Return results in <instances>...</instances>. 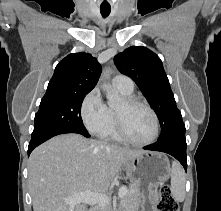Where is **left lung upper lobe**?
Masks as SVG:
<instances>
[{
  "label": "left lung upper lobe",
  "instance_id": "1",
  "mask_svg": "<svg viewBox=\"0 0 221 211\" xmlns=\"http://www.w3.org/2000/svg\"><path fill=\"white\" fill-rule=\"evenodd\" d=\"M118 70L134 80L156 112L161 125L158 141L185 135L181 112L176 106L162 61L143 46H132L114 57Z\"/></svg>",
  "mask_w": 221,
  "mask_h": 211
}]
</instances>
